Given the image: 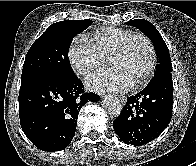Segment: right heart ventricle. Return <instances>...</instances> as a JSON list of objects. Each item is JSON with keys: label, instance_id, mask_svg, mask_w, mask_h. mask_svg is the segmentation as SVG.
Wrapping results in <instances>:
<instances>
[{"label": "right heart ventricle", "instance_id": "1", "mask_svg": "<svg viewBox=\"0 0 196 166\" xmlns=\"http://www.w3.org/2000/svg\"><path fill=\"white\" fill-rule=\"evenodd\" d=\"M134 32L119 27H106L93 32L91 41L104 58L110 57Z\"/></svg>", "mask_w": 196, "mask_h": 166}]
</instances>
